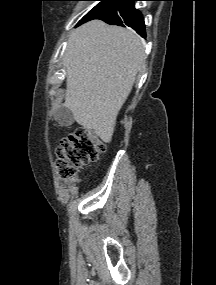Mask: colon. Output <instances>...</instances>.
Instances as JSON below:
<instances>
[{"instance_id": "1", "label": "colon", "mask_w": 216, "mask_h": 285, "mask_svg": "<svg viewBox=\"0 0 216 285\" xmlns=\"http://www.w3.org/2000/svg\"><path fill=\"white\" fill-rule=\"evenodd\" d=\"M106 150V144L92 131L78 128L63 138L57 146V166L61 176L73 180L78 169L98 160Z\"/></svg>"}]
</instances>
